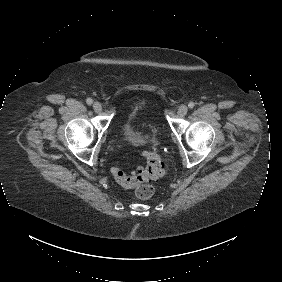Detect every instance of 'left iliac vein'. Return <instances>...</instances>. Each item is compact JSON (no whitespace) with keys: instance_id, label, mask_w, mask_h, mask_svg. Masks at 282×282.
<instances>
[{"instance_id":"left-iliac-vein-1","label":"left iliac vein","mask_w":282,"mask_h":282,"mask_svg":"<svg viewBox=\"0 0 282 282\" xmlns=\"http://www.w3.org/2000/svg\"><path fill=\"white\" fill-rule=\"evenodd\" d=\"M188 112V107L186 105H182L179 107L177 114L179 117H184Z\"/></svg>"}]
</instances>
